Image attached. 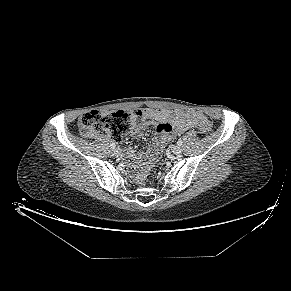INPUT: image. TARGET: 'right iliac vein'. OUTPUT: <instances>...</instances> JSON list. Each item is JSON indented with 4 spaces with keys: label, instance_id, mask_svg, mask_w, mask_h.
<instances>
[{
    "label": "right iliac vein",
    "instance_id": "obj_1",
    "mask_svg": "<svg viewBox=\"0 0 291 291\" xmlns=\"http://www.w3.org/2000/svg\"><path fill=\"white\" fill-rule=\"evenodd\" d=\"M112 154L114 156H119L120 155V150L118 148H115V149L112 150Z\"/></svg>",
    "mask_w": 291,
    "mask_h": 291
}]
</instances>
